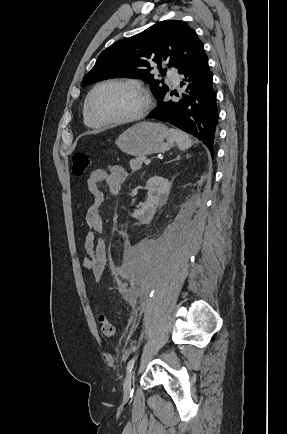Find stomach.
<instances>
[{"instance_id":"1","label":"stomach","mask_w":287,"mask_h":434,"mask_svg":"<svg viewBox=\"0 0 287 434\" xmlns=\"http://www.w3.org/2000/svg\"><path fill=\"white\" fill-rule=\"evenodd\" d=\"M174 141L165 125L140 122L119 135L115 143L122 152L139 157L168 151Z\"/></svg>"}]
</instances>
